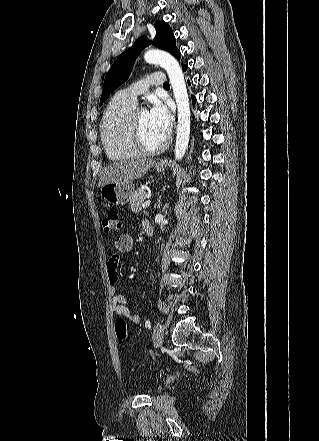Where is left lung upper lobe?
<instances>
[{"mask_svg": "<svg viewBox=\"0 0 319 441\" xmlns=\"http://www.w3.org/2000/svg\"><path fill=\"white\" fill-rule=\"evenodd\" d=\"M154 26L156 29V35L153 42H150L145 35H142L135 41L132 47L124 51L115 60L104 80L100 106L117 87L128 79L136 58L141 51L150 44L169 52L180 60L181 54L176 47L175 37L171 27L164 21L155 22Z\"/></svg>", "mask_w": 319, "mask_h": 441, "instance_id": "obj_1", "label": "left lung upper lobe"}]
</instances>
